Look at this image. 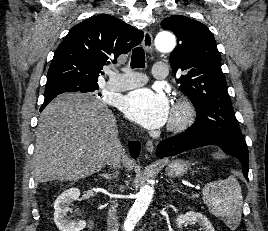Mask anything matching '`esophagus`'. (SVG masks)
<instances>
[{
  "instance_id": "1",
  "label": "esophagus",
  "mask_w": 268,
  "mask_h": 231,
  "mask_svg": "<svg viewBox=\"0 0 268 231\" xmlns=\"http://www.w3.org/2000/svg\"><path fill=\"white\" fill-rule=\"evenodd\" d=\"M142 45L146 51L152 52L153 50V38L150 32L145 31L143 36ZM145 149L148 153H152L154 151V144L152 141L148 140L145 145Z\"/></svg>"
}]
</instances>
